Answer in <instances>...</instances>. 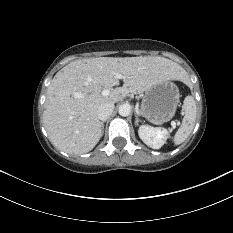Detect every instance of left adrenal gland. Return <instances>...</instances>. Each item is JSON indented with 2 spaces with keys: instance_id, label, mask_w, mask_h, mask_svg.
<instances>
[{
  "instance_id": "a2214340",
  "label": "left adrenal gland",
  "mask_w": 233,
  "mask_h": 233,
  "mask_svg": "<svg viewBox=\"0 0 233 233\" xmlns=\"http://www.w3.org/2000/svg\"><path fill=\"white\" fill-rule=\"evenodd\" d=\"M141 120L138 118L137 114H135V126H138V123L140 122Z\"/></svg>"
}]
</instances>
